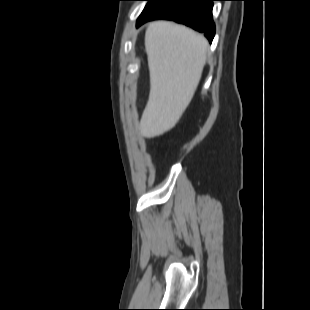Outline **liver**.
<instances>
[{
	"instance_id": "1",
	"label": "liver",
	"mask_w": 310,
	"mask_h": 310,
	"mask_svg": "<svg viewBox=\"0 0 310 310\" xmlns=\"http://www.w3.org/2000/svg\"><path fill=\"white\" fill-rule=\"evenodd\" d=\"M150 94L140 123L147 138L171 130L191 102L206 61L208 41L169 21L150 23L145 35Z\"/></svg>"
}]
</instances>
